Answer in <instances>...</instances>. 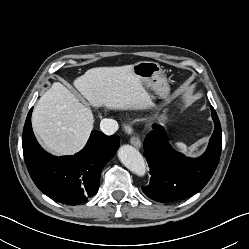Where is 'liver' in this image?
I'll list each match as a JSON object with an SVG mask.
<instances>
[{
	"label": "liver",
	"mask_w": 249,
	"mask_h": 249,
	"mask_svg": "<svg viewBox=\"0 0 249 249\" xmlns=\"http://www.w3.org/2000/svg\"><path fill=\"white\" fill-rule=\"evenodd\" d=\"M94 107L114 110L150 108L151 98L131 65L98 67L73 82ZM90 108L64 85L53 83L37 102L32 126L45 148L56 155H73L86 144L93 129Z\"/></svg>",
	"instance_id": "obj_1"
}]
</instances>
